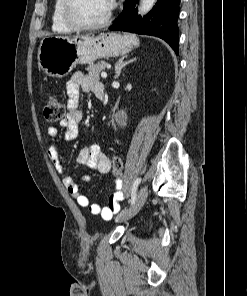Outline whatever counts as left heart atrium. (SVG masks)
Here are the masks:
<instances>
[{
	"instance_id": "obj_1",
	"label": "left heart atrium",
	"mask_w": 247,
	"mask_h": 296,
	"mask_svg": "<svg viewBox=\"0 0 247 296\" xmlns=\"http://www.w3.org/2000/svg\"><path fill=\"white\" fill-rule=\"evenodd\" d=\"M110 9L114 6L115 0H108Z\"/></svg>"
}]
</instances>
